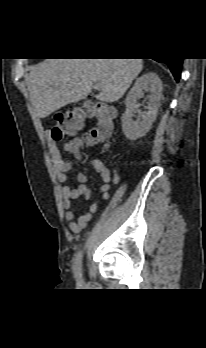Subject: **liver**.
<instances>
[{
  "label": "liver",
  "mask_w": 206,
  "mask_h": 348,
  "mask_svg": "<svg viewBox=\"0 0 206 348\" xmlns=\"http://www.w3.org/2000/svg\"><path fill=\"white\" fill-rule=\"evenodd\" d=\"M143 69L142 59H45L27 77L31 102L45 118L63 106L85 99L99 82L95 98L118 101Z\"/></svg>",
  "instance_id": "liver-1"
}]
</instances>
